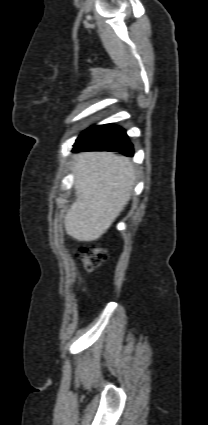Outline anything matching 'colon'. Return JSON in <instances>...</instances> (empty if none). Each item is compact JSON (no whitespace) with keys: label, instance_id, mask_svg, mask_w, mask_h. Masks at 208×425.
Instances as JSON below:
<instances>
[{"label":"colon","instance_id":"1","mask_svg":"<svg viewBox=\"0 0 208 425\" xmlns=\"http://www.w3.org/2000/svg\"><path fill=\"white\" fill-rule=\"evenodd\" d=\"M78 257L84 268L92 271L107 260V253L103 248L84 245L79 249Z\"/></svg>","mask_w":208,"mask_h":425}]
</instances>
